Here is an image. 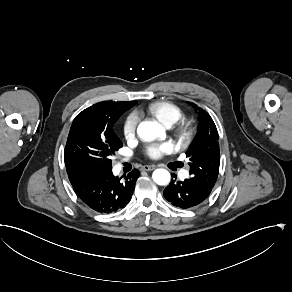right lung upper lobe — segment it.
<instances>
[{
    "mask_svg": "<svg viewBox=\"0 0 292 292\" xmlns=\"http://www.w3.org/2000/svg\"><path fill=\"white\" fill-rule=\"evenodd\" d=\"M137 101L131 102H100L93 105V108L97 111L107 114L109 116H121L125 111L133 107Z\"/></svg>",
    "mask_w": 292,
    "mask_h": 292,
    "instance_id": "1",
    "label": "right lung upper lobe"
}]
</instances>
